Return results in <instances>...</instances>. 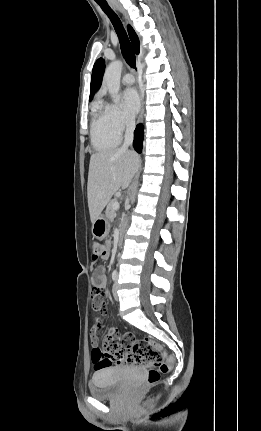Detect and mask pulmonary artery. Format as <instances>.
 I'll use <instances>...</instances> for the list:
<instances>
[{
  "label": "pulmonary artery",
  "instance_id": "1",
  "mask_svg": "<svg viewBox=\"0 0 261 431\" xmlns=\"http://www.w3.org/2000/svg\"><path fill=\"white\" fill-rule=\"evenodd\" d=\"M122 82L125 85H132L135 82V78L131 73H126L123 77H122Z\"/></svg>",
  "mask_w": 261,
  "mask_h": 431
}]
</instances>
